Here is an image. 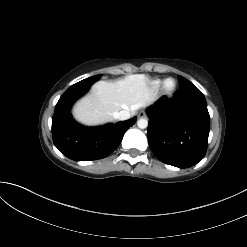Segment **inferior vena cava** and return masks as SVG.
I'll use <instances>...</instances> for the list:
<instances>
[{
    "mask_svg": "<svg viewBox=\"0 0 247 247\" xmlns=\"http://www.w3.org/2000/svg\"><path fill=\"white\" fill-rule=\"evenodd\" d=\"M131 116L130 111L128 110H121L119 112L114 113V118L118 120H127Z\"/></svg>",
    "mask_w": 247,
    "mask_h": 247,
    "instance_id": "inferior-vena-cava-1",
    "label": "inferior vena cava"
}]
</instances>
